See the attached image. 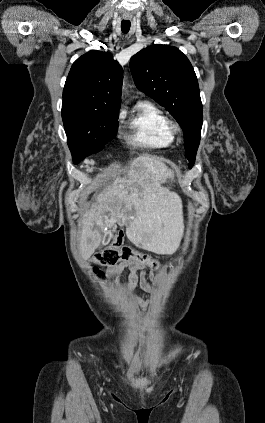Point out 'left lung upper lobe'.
Instances as JSON below:
<instances>
[{
	"label": "left lung upper lobe",
	"mask_w": 265,
	"mask_h": 423,
	"mask_svg": "<svg viewBox=\"0 0 265 423\" xmlns=\"http://www.w3.org/2000/svg\"><path fill=\"white\" fill-rule=\"evenodd\" d=\"M130 70L137 88L165 107L183 129L185 156L192 168L200 142L203 107L190 61L176 47L152 45L132 56Z\"/></svg>",
	"instance_id": "1"
}]
</instances>
